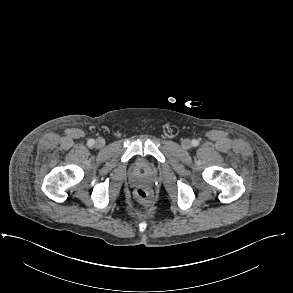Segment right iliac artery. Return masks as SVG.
<instances>
[{
	"label": "right iliac artery",
	"mask_w": 293,
	"mask_h": 293,
	"mask_svg": "<svg viewBox=\"0 0 293 293\" xmlns=\"http://www.w3.org/2000/svg\"><path fill=\"white\" fill-rule=\"evenodd\" d=\"M94 143H95V141H94L93 139H90V140L87 142V145L91 147V146L94 145Z\"/></svg>",
	"instance_id": "82829eb1"
}]
</instances>
